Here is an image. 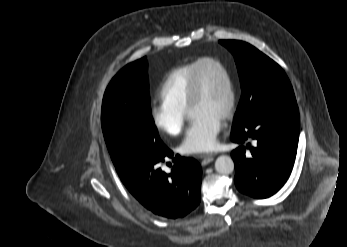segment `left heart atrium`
Returning <instances> with one entry per match:
<instances>
[{"instance_id": "39dd6f15", "label": "left heart atrium", "mask_w": 347, "mask_h": 247, "mask_svg": "<svg viewBox=\"0 0 347 247\" xmlns=\"http://www.w3.org/2000/svg\"><path fill=\"white\" fill-rule=\"evenodd\" d=\"M222 123L221 118L211 115L195 117L180 144L181 153L194 155L212 150L222 129Z\"/></svg>"}]
</instances>
